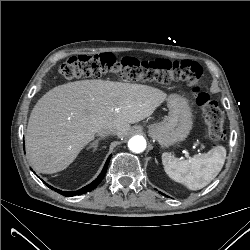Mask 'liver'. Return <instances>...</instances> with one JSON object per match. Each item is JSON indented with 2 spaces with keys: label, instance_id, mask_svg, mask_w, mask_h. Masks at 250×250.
I'll use <instances>...</instances> for the list:
<instances>
[{
  "label": "liver",
  "instance_id": "obj_1",
  "mask_svg": "<svg viewBox=\"0 0 250 250\" xmlns=\"http://www.w3.org/2000/svg\"><path fill=\"white\" fill-rule=\"evenodd\" d=\"M166 98L157 88L100 79L56 86L31 112L25 135L28 159L40 173L62 171L99 130L113 128L122 138L130 124L151 116Z\"/></svg>",
  "mask_w": 250,
  "mask_h": 250
}]
</instances>
